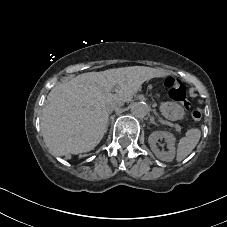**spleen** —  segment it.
<instances>
[{
    "instance_id": "3e777b00",
    "label": "spleen",
    "mask_w": 227,
    "mask_h": 227,
    "mask_svg": "<svg viewBox=\"0 0 227 227\" xmlns=\"http://www.w3.org/2000/svg\"><path fill=\"white\" fill-rule=\"evenodd\" d=\"M201 137V131L197 128L189 129L185 137L181 138L177 146L176 160L181 162L184 160L197 146Z\"/></svg>"
}]
</instances>
